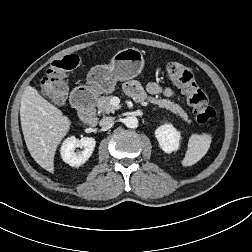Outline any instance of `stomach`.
Here are the masks:
<instances>
[{
  "mask_svg": "<svg viewBox=\"0 0 252 252\" xmlns=\"http://www.w3.org/2000/svg\"><path fill=\"white\" fill-rule=\"evenodd\" d=\"M144 67L141 50L130 47L118 51L109 65L93 67L87 74L88 86H79L76 91H88L93 95L111 93L117 81H125L139 75Z\"/></svg>",
  "mask_w": 252,
  "mask_h": 252,
  "instance_id": "1",
  "label": "stomach"
}]
</instances>
